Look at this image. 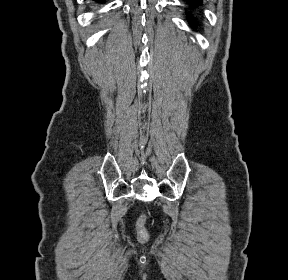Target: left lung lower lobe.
<instances>
[{
  "label": "left lung lower lobe",
  "instance_id": "1",
  "mask_svg": "<svg viewBox=\"0 0 288 280\" xmlns=\"http://www.w3.org/2000/svg\"><path fill=\"white\" fill-rule=\"evenodd\" d=\"M188 1L191 5H198L201 3L202 0H185Z\"/></svg>",
  "mask_w": 288,
  "mask_h": 280
}]
</instances>
